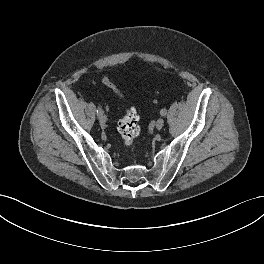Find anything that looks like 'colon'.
Listing matches in <instances>:
<instances>
[{"instance_id": "colon-1", "label": "colon", "mask_w": 264, "mask_h": 264, "mask_svg": "<svg viewBox=\"0 0 264 264\" xmlns=\"http://www.w3.org/2000/svg\"><path fill=\"white\" fill-rule=\"evenodd\" d=\"M103 82L107 87L125 100V97L120 94L118 89L108 78H104ZM117 128L124 145L131 146L140 133L139 115L135 107H126L125 115L119 120Z\"/></svg>"}]
</instances>
